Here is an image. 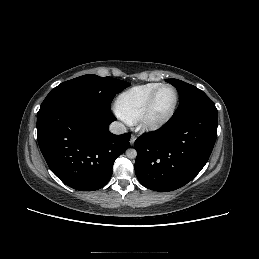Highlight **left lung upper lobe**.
<instances>
[{
  "label": "left lung upper lobe",
  "instance_id": "1",
  "mask_svg": "<svg viewBox=\"0 0 259 259\" xmlns=\"http://www.w3.org/2000/svg\"><path fill=\"white\" fill-rule=\"evenodd\" d=\"M166 81L177 89L180 96L179 106L175 113L195 108L217 110L214 102L197 87L178 79H166Z\"/></svg>",
  "mask_w": 259,
  "mask_h": 259
}]
</instances>
